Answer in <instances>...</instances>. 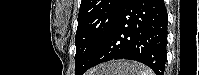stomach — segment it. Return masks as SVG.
<instances>
[{
  "label": "stomach",
  "mask_w": 199,
  "mask_h": 75,
  "mask_svg": "<svg viewBox=\"0 0 199 75\" xmlns=\"http://www.w3.org/2000/svg\"><path fill=\"white\" fill-rule=\"evenodd\" d=\"M139 65L129 61H114L96 67L93 75H139Z\"/></svg>",
  "instance_id": "0dacf381"
}]
</instances>
